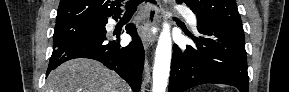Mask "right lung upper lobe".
Listing matches in <instances>:
<instances>
[{
    "label": "right lung upper lobe",
    "mask_w": 289,
    "mask_h": 92,
    "mask_svg": "<svg viewBox=\"0 0 289 92\" xmlns=\"http://www.w3.org/2000/svg\"><path fill=\"white\" fill-rule=\"evenodd\" d=\"M121 0H61L56 17V23L68 21H107L108 17L117 18L122 10Z\"/></svg>",
    "instance_id": "1"
}]
</instances>
